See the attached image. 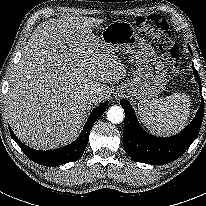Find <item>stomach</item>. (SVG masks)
I'll return each instance as SVG.
<instances>
[{"label":"stomach","mask_w":206,"mask_h":206,"mask_svg":"<svg viewBox=\"0 0 206 206\" xmlns=\"http://www.w3.org/2000/svg\"><path fill=\"white\" fill-rule=\"evenodd\" d=\"M101 40L114 52H126L135 60L132 77L121 84L119 90L138 100V108L143 102L158 96L167 84V72L153 48L141 38L128 21H113L102 29Z\"/></svg>","instance_id":"0dacf381"}]
</instances>
